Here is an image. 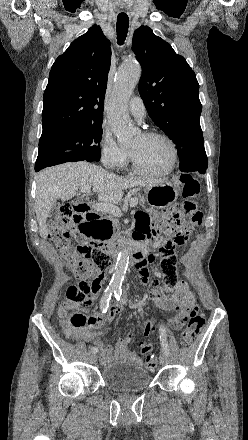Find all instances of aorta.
<instances>
[{
	"instance_id": "aorta-1",
	"label": "aorta",
	"mask_w": 248,
	"mask_h": 440,
	"mask_svg": "<svg viewBox=\"0 0 248 440\" xmlns=\"http://www.w3.org/2000/svg\"><path fill=\"white\" fill-rule=\"evenodd\" d=\"M141 66L136 60L125 61L118 69L113 88L108 121L112 132L120 144H130L136 137L138 129L131 123L127 103L139 82ZM129 263L128 249H122L117 258L115 271L110 287L120 289Z\"/></svg>"
}]
</instances>
